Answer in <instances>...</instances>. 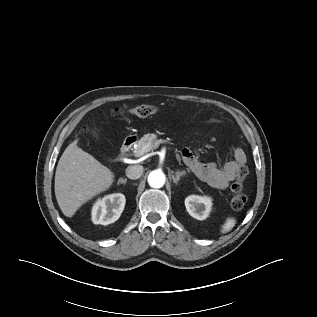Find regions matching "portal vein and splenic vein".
<instances>
[{
	"label": "portal vein and splenic vein",
	"instance_id": "obj_1",
	"mask_svg": "<svg viewBox=\"0 0 317 317\" xmlns=\"http://www.w3.org/2000/svg\"><path fill=\"white\" fill-rule=\"evenodd\" d=\"M145 157H147V155H145ZM177 159H178V161H179V162H181V159H180V157H178Z\"/></svg>",
	"mask_w": 317,
	"mask_h": 317
}]
</instances>
